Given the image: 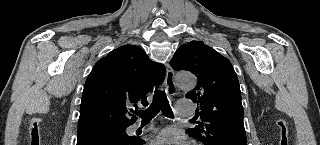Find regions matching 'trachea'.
Returning <instances> with one entry per match:
<instances>
[{
	"mask_svg": "<svg viewBox=\"0 0 320 145\" xmlns=\"http://www.w3.org/2000/svg\"><path fill=\"white\" fill-rule=\"evenodd\" d=\"M160 110L163 115L169 118L173 117L172 109L164 91L156 90L154 93L153 101L148 109L136 111V115L142 118L143 122L151 121Z\"/></svg>",
	"mask_w": 320,
	"mask_h": 145,
	"instance_id": "obj_1",
	"label": "trachea"
}]
</instances>
